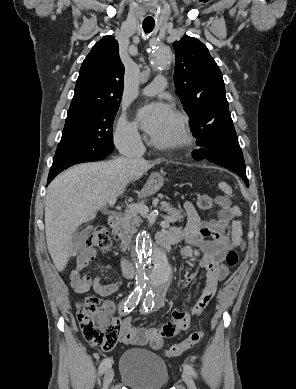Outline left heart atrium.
<instances>
[{"mask_svg": "<svg viewBox=\"0 0 296 389\" xmlns=\"http://www.w3.org/2000/svg\"><path fill=\"white\" fill-rule=\"evenodd\" d=\"M173 112L169 105L155 102L138 110L137 119L141 128L151 136H156L166 126Z\"/></svg>", "mask_w": 296, "mask_h": 389, "instance_id": "39dd6f15", "label": "left heart atrium"}]
</instances>
